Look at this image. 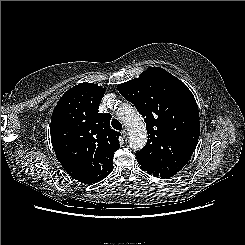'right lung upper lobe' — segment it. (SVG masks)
I'll return each mask as SVG.
<instances>
[{
	"label": "right lung upper lobe",
	"mask_w": 245,
	"mask_h": 245,
	"mask_svg": "<svg viewBox=\"0 0 245 245\" xmlns=\"http://www.w3.org/2000/svg\"><path fill=\"white\" fill-rule=\"evenodd\" d=\"M106 88L80 83L59 100L51 116V142L56 157L80 182L97 183L113 168L120 133L110 128L111 115L98 108Z\"/></svg>",
	"instance_id": "obj_1"
}]
</instances>
